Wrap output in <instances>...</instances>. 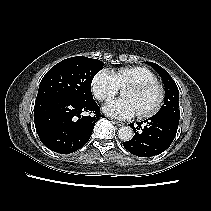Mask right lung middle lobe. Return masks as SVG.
I'll list each match as a JSON object with an SVG mask.
<instances>
[{
	"label": "right lung middle lobe",
	"instance_id": "dd1d6c3e",
	"mask_svg": "<svg viewBox=\"0 0 211 211\" xmlns=\"http://www.w3.org/2000/svg\"><path fill=\"white\" fill-rule=\"evenodd\" d=\"M103 65V62L98 59L84 56H76L59 62L41 80L36 101L42 99L93 100L91 82Z\"/></svg>",
	"mask_w": 211,
	"mask_h": 211
}]
</instances>
